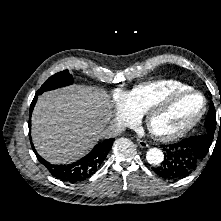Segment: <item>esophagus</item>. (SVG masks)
<instances>
[{
  "mask_svg": "<svg viewBox=\"0 0 221 221\" xmlns=\"http://www.w3.org/2000/svg\"><path fill=\"white\" fill-rule=\"evenodd\" d=\"M136 141H137L138 145H139L140 147H142V148H147V147H149L148 143H147L146 141L142 140V139H139V138H138Z\"/></svg>",
  "mask_w": 221,
  "mask_h": 221,
  "instance_id": "esophagus-1",
  "label": "esophagus"
}]
</instances>
